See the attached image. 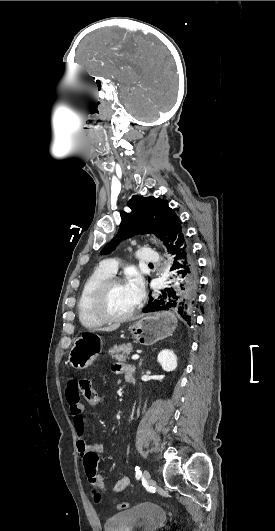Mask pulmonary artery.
Instances as JSON below:
<instances>
[{"label":"pulmonary artery","mask_w":275,"mask_h":531,"mask_svg":"<svg viewBox=\"0 0 275 531\" xmlns=\"http://www.w3.org/2000/svg\"><path fill=\"white\" fill-rule=\"evenodd\" d=\"M136 256L139 258L140 263L155 264L159 261V258H158L159 253L155 249H152L150 251L148 250L138 251L136 253ZM99 270L100 272H106V273L114 274V275H117L120 272L119 267L114 266L113 261H100Z\"/></svg>","instance_id":"pulmonary-artery-1"}]
</instances>
